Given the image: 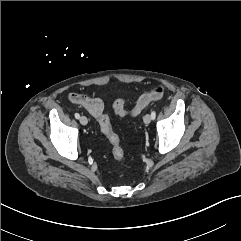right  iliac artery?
<instances>
[{
	"label": "right iliac artery",
	"instance_id": "1",
	"mask_svg": "<svg viewBox=\"0 0 241 241\" xmlns=\"http://www.w3.org/2000/svg\"><path fill=\"white\" fill-rule=\"evenodd\" d=\"M75 118L76 119H79L80 118V115L78 113H75Z\"/></svg>",
	"mask_w": 241,
	"mask_h": 241
}]
</instances>
